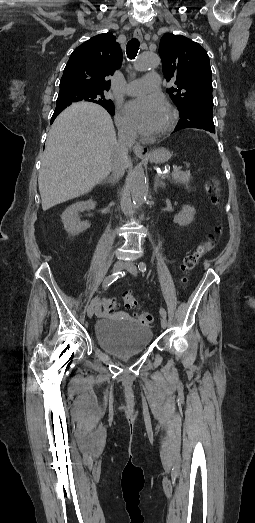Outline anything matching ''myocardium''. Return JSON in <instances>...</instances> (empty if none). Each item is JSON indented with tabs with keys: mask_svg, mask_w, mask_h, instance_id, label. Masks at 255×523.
<instances>
[{
	"mask_svg": "<svg viewBox=\"0 0 255 523\" xmlns=\"http://www.w3.org/2000/svg\"><path fill=\"white\" fill-rule=\"evenodd\" d=\"M164 104L170 109V111L172 113V118H171L170 125H169V127L167 128V130L163 134H161V135H159L157 137H147L146 138L147 141H156V140H159L161 138L169 136L174 131V129H175L176 125H177V122H178V119H179V112H178V110L176 109L175 106H173L169 102H164Z\"/></svg>",
	"mask_w": 255,
	"mask_h": 523,
	"instance_id": "obj_1",
	"label": "myocardium"
}]
</instances>
